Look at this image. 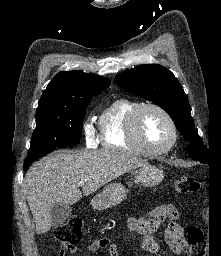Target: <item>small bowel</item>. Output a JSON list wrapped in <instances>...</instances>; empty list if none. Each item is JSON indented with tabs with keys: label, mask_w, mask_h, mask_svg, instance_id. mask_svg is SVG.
Returning a JSON list of instances; mask_svg holds the SVG:
<instances>
[{
	"label": "small bowel",
	"mask_w": 221,
	"mask_h": 256,
	"mask_svg": "<svg viewBox=\"0 0 221 256\" xmlns=\"http://www.w3.org/2000/svg\"><path fill=\"white\" fill-rule=\"evenodd\" d=\"M178 211L173 205H159L153 208L145 217H132L128 220V227L143 235V248L152 254L159 251V245L153 234L166 220H175ZM164 240L174 256H179L188 248L187 241L183 237L182 227L175 221H171L164 231ZM88 252H96L107 249L109 256H119L118 248L107 237H102L91 242L86 247ZM61 256H64L63 254Z\"/></svg>",
	"instance_id": "1"
}]
</instances>
